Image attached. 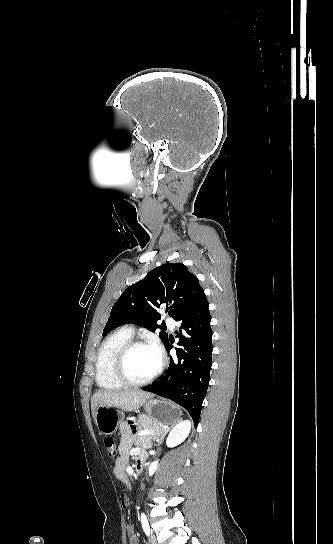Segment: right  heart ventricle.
Listing matches in <instances>:
<instances>
[{
	"mask_svg": "<svg viewBox=\"0 0 333 544\" xmlns=\"http://www.w3.org/2000/svg\"><path fill=\"white\" fill-rule=\"evenodd\" d=\"M132 338V333L122 328L107 336L101 343L95 364L97 386L104 390H118L124 385L115 377L114 359L121 346Z\"/></svg>",
	"mask_w": 333,
	"mask_h": 544,
	"instance_id": "e07e8e85",
	"label": "right heart ventricle"
}]
</instances>
